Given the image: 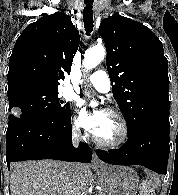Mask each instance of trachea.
<instances>
[{
    "mask_svg": "<svg viewBox=\"0 0 178 195\" xmlns=\"http://www.w3.org/2000/svg\"><path fill=\"white\" fill-rule=\"evenodd\" d=\"M83 20L86 35H90L93 30V0H84Z\"/></svg>",
    "mask_w": 178,
    "mask_h": 195,
    "instance_id": "trachea-1",
    "label": "trachea"
}]
</instances>
